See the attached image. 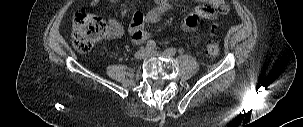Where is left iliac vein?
I'll return each mask as SVG.
<instances>
[{
  "label": "left iliac vein",
  "instance_id": "4c4485c4",
  "mask_svg": "<svg viewBox=\"0 0 303 127\" xmlns=\"http://www.w3.org/2000/svg\"><path fill=\"white\" fill-rule=\"evenodd\" d=\"M158 56H168L165 52H159L156 50L148 51L147 57H158Z\"/></svg>",
  "mask_w": 303,
  "mask_h": 127
}]
</instances>
